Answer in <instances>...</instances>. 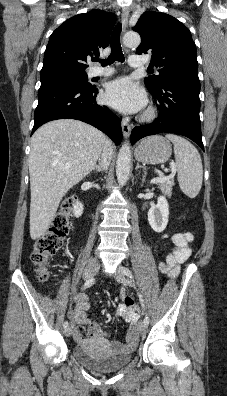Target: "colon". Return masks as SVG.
I'll use <instances>...</instances> for the list:
<instances>
[{
  "instance_id": "obj_1",
  "label": "colon",
  "mask_w": 227,
  "mask_h": 396,
  "mask_svg": "<svg viewBox=\"0 0 227 396\" xmlns=\"http://www.w3.org/2000/svg\"><path fill=\"white\" fill-rule=\"evenodd\" d=\"M75 206V199H67L62 209L56 214L48 230L34 244L31 260L37 267L38 279L41 282L48 280L50 275V260L62 246L69 230V216ZM125 304L136 307L135 302L127 297Z\"/></svg>"
}]
</instances>
